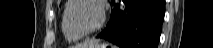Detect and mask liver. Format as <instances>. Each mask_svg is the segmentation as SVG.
Returning <instances> with one entry per match:
<instances>
[{"instance_id":"obj_1","label":"liver","mask_w":213,"mask_h":48,"mask_svg":"<svg viewBox=\"0 0 213 48\" xmlns=\"http://www.w3.org/2000/svg\"><path fill=\"white\" fill-rule=\"evenodd\" d=\"M98 43L97 40H87L84 43H81L75 48H89V47H94Z\"/></svg>"}]
</instances>
